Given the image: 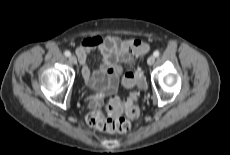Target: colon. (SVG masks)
Wrapping results in <instances>:
<instances>
[{
	"label": "colon",
	"mask_w": 230,
	"mask_h": 155,
	"mask_svg": "<svg viewBox=\"0 0 230 155\" xmlns=\"http://www.w3.org/2000/svg\"><path fill=\"white\" fill-rule=\"evenodd\" d=\"M148 51V46L140 40H132L131 45L127 47L128 55H139ZM127 79L138 88L142 84V77L139 73L128 71ZM122 107L121 101L118 98H112L109 101V108L117 115ZM125 111L129 118L136 119L140 115L139 94L133 92L125 102ZM87 123L92 128L99 131L126 133L131 129V123L122 117L115 116L107 118L103 111L95 110L87 115Z\"/></svg>",
	"instance_id": "1"
}]
</instances>
